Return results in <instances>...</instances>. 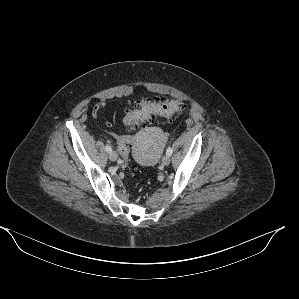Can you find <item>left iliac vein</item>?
<instances>
[{
  "instance_id": "left-iliac-vein-1",
  "label": "left iliac vein",
  "mask_w": 299,
  "mask_h": 299,
  "mask_svg": "<svg viewBox=\"0 0 299 299\" xmlns=\"http://www.w3.org/2000/svg\"><path fill=\"white\" fill-rule=\"evenodd\" d=\"M170 161H171L170 156H168V155L163 156V158H162V164L163 165H165V166L169 165Z\"/></svg>"
}]
</instances>
